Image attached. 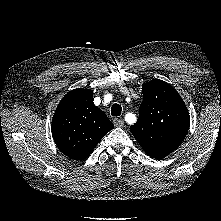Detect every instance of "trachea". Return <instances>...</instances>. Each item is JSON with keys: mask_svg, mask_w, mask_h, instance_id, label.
Wrapping results in <instances>:
<instances>
[{"mask_svg": "<svg viewBox=\"0 0 221 221\" xmlns=\"http://www.w3.org/2000/svg\"><path fill=\"white\" fill-rule=\"evenodd\" d=\"M122 112V107L119 104H114L111 107V115L114 117L120 116Z\"/></svg>", "mask_w": 221, "mask_h": 221, "instance_id": "obj_1", "label": "trachea"}]
</instances>
